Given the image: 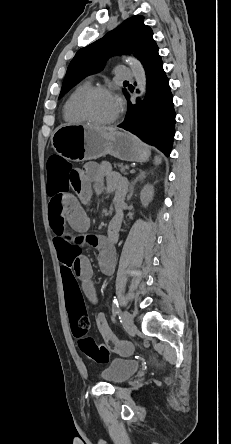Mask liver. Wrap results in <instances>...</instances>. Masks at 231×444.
I'll use <instances>...</instances> for the list:
<instances>
[{
  "mask_svg": "<svg viewBox=\"0 0 231 444\" xmlns=\"http://www.w3.org/2000/svg\"><path fill=\"white\" fill-rule=\"evenodd\" d=\"M91 128L95 129L96 131L104 132V133H111V132L116 131V129L113 128V127H96V126H91Z\"/></svg>",
  "mask_w": 231,
  "mask_h": 444,
  "instance_id": "liver-1",
  "label": "liver"
}]
</instances>
